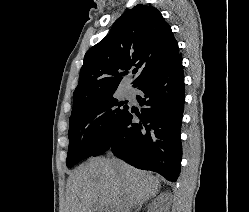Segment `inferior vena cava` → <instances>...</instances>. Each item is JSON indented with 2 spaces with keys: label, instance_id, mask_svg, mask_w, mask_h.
Here are the masks:
<instances>
[{
  "label": "inferior vena cava",
  "instance_id": "inferior-vena-cava-1",
  "mask_svg": "<svg viewBox=\"0 0 249 212\" xmlns=\"http://www.w3.org/2000/svg\"><path fill=\"white\" fill-rule=\"evenodd\" d=\"M123 212H131V204L129 202H125Z\"/></svg>",
  "mask_w": 249,
  "mask_h": 212
}]
</instances>
